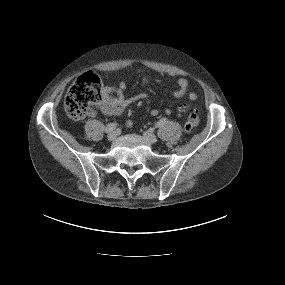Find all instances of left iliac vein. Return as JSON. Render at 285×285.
<instances>
[{
  "mask_svg": "<svg viewBox=\"0 0 285 285\" xmlns=\"http://www.w3.org/2000/svg\"><path fill=\"white\" fill-rule=\"evenodd\" d=\"M143 135H144V138L150 141L151 143L157 142V136L154 133L145 132Z\"/></svg>",
  "mask_w": 285,
  "mask_h": 285,
  "instance_id": "1",
  "label": "left iliac vein"
}]
</instances>
